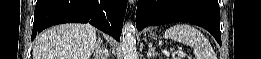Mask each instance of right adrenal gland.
Wrapping results in <instances>:
<instances>
[{
  "label": "right adrenal gland",
  "instance_id": "obj_1",
  "mask_svg": "<svg viewBox=\"0 0 261 59\" xmlns=\"http://www.w3.org/2000/svg\"><path fill=\"white\" fill-rule=\"evenodd\" d=\"M96 59H106L107 50L104 49L101 40L98 38L95 44V52L93 53Z\"/></svg>",
  "mask_w": 261,
  "mask_h": 59
}]
</instances>
